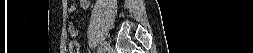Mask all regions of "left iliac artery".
I'll list each match as a JSON object with an SVG mask.
<instances>
[{
	"label": "left iliac artery",
	"mask_w": 253,
	"mask_h": 53,
	"mask_svg": "<svg viewBox=\"0 0 253 53\" xmlns=\"http://www.w3.org/2000/svg\"><path fill=\"white\" fill-rule=\"evenodd\" d=\"M96 48H97L98 53H103L104 48H103V45H102L101 41L97 42Z\"/></svg>",
	"instance_id": "obj_1"
}]
</instances>
